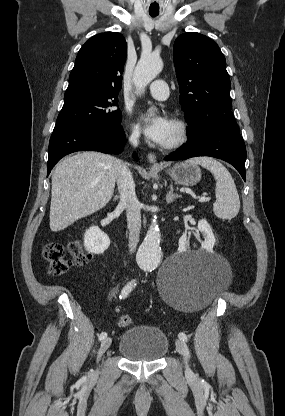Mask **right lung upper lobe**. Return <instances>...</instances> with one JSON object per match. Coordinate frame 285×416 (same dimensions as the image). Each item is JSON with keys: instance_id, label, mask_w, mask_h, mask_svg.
Wrapping results in <instances>:
<instances>
[{"instance_id": "cb5924a9", "label": "right lung upper lobe", "mask_w": 285, "mask_h": 416, "mask_svg": "<svg viewBox=\"0 0 285 416\" xmlns=\"http://www.w3.org/2000/svg\"><path fill=\"white\" fill-rule=\"evenodd\" d=\"M126 51L120 33L106 32L90 38L78 52L65 95L118 96Z\"/></svg>"}]
</instances>
